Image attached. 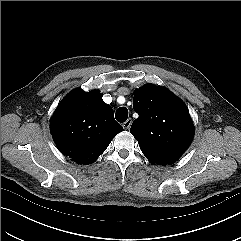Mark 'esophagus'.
<instances>
[{
	"mask_svg": "<svg viewBox=\"0 0 241 241\" xmlns=\"http://www.w3.org/2000/svg\"><path fill=\"white\" fill-rule=\"evenodd\" d=\"M131 124H132V119L129 118L122 124V126H123L124 129H129Z\"/></svg>",
	"mask_w": 241,
	"mask_h": 241,
	"instance_id": "obj_1",
	"label": "esophagus"
}]
</instances>
